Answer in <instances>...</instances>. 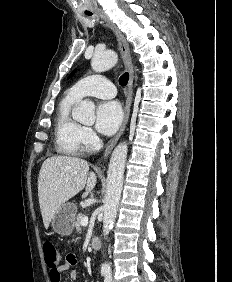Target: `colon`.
<instances>
[{
	"mask_svg": "<svg viewBox=\"0 0 232 282\" xmlns=\"http://www.w3.org/2000/svg\"><path fill=\"white\" fill-rule=\"evenodd\" d=\"M43 253L45 257V262L50 271H55L59 265L60 257L55 245L46 241L43 244Z\"/></svg>",
	"mask_w": 232,
	"mask_h": 282,
	"instance_id": "5ec220e1",
	"label": "colon"
}]
</instances>
